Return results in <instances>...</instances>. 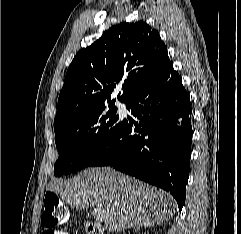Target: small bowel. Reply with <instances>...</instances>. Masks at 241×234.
Listing matches in <instances>:
<instances>
[{
  "mask_svg": "<svg viewBox=\"0 0 241 234\" xmlns=\"http://www.w3.org/2000/svg\"><path fill=\"white\" fill-rule=\"evenodd\" d=\"M42 234H69V233L61 230H45Z\"/></svg>",
  "mask_w": 241,
  "mask_h": 234,
  "instance_id": "obj_1",
  "label": "small bowel"
}]
</instances>
